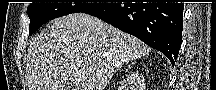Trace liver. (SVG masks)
<instances>
[{
  "mask_svg": "<svg viewBox=\"0 0 216 90\" xmlns=\"http://www.w3.org/2000/svg\"><path fill=\"white\" fill-rule=\"evenodd\" d=\"M149 52L135 36L94 16L56 18L28 48L27 90H105L117 70Z\"/></svg>",
  "mask_w": 216,
  "mask_h": 90,
  "instance_id": "6515ba94",
  "label": "liver"
}]
</instances>
